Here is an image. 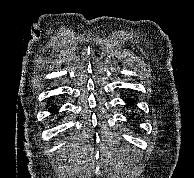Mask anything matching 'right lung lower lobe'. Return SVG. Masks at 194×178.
Returning a JSON list of instances; mask_svg holds the SVG:
<instances>
[{
  "label": "right lung lower lobe",
  "instance_id": "98d812e1",
  "mask_svg": "<svg viewBox=\"0 0 194 178\" xmlns=\"http://www.w3.org/2000/svg\"><path fill=\"white\" fill-rule=\"evenodd\" d=\"M56 107H57L56 105H53L51 108H49V111L50 112H53V111L55 112L56 111Z\"/></svg>",
  "mask_w": 194,
  "mask_h": 178
}]
</instances>
